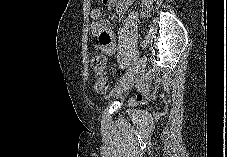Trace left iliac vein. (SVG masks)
Segmentation results:
<instances>
[{
    "instance_id": "left-iliac-vein-1",
    "label": "left iliac vein",
    "mask_w": 227,
    "mask_h": 157,
    "mask_svg": "<svg viewBox=\"0 0 227 157\" xmlns=\"http://www.w3.org/2000/svg\"><path fill=\"white\" fill-rule=\"evenodd\" d=\"M146 68V57H141L132 72V74L127 78L126 81L117 84L109 93L108 98L117 97L133 87L135 82L138 80L140 75Z\"/></svg>"
}]
</instances>
